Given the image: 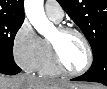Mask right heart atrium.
I'll use <instances>...</instances> for the list:
<instances>
[{
    "label": "right heart atrium",
    "mask_w": 107,
    "mask_h": 89,
    "mask_svg": "<svg viewBox=\"0 0 107 89\" xmlns=\"http://www.w3.org/2000/svg\"><path fill=\"white\" fill-rule=\"evenodd\" d=\"M13 56L17 64L28 72L36 71L43 55V39L25 20L13 38Z\"/></svg>",
    "instance_id": "1"
}]
</instances>
